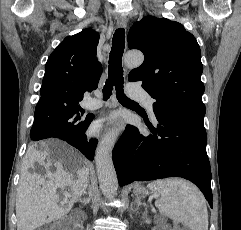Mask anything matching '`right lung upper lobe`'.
<instances>
[{
  "mask_svg": "<svg viewBox=\"0 0 241 230\" xmlns=\"http://www.w3.org/2000/svg\"><path fill=\"white\" fill-rule=\"evenodd\" d=\"M99 34L88 28L66 37L45 65L41 98L35 111L79 106L83 94L97 88L102 66L98 62Z\"/></svg>",
  "mask_w": 241,
  "mask_h": 230,
  "instance_id": "obj_1",
  "label": "right lung upper lobe"
}]
</instances>
